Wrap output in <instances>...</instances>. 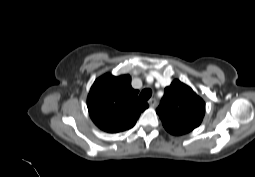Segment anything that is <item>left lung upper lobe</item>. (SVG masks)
Listing matches in <instances>:
<instances>
[{
  "instance_id": "obj_1",
  "label": "left lung upper lobe",
  "mask_w": 255,
  "mask_h": 177,
  "mask_svg": "<svg viewBox=\"0 0 255 177\" xmlns=\"http://www.w3.org/2000/svg\"><path fill=\"white\" fill-rule=\"evenodd\" d=\"M164 91L156 112L170 134L183 135L201 124L205 102L188 85L174 80Z\"/></svg>"
}]
</instances>
